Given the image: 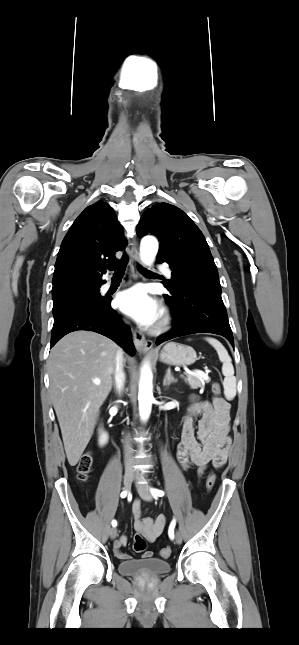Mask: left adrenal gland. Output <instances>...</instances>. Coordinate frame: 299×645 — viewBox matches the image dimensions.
<instances>
[{"mask_svg":"<svg viewBox=\"0 0 299 645\" xmlns=\"http://www.w3.org/2000/svg\"><path fill=\"white\" fill-rule=\"evenodd\" d=\"M177 380L173 377L170 368L167 369V373L163 380L164 386H169L170 384L176 383Z\"/></svg>","mask_w":299,"mask_h":645,"instance_id":"obj_1","label":"left adrenal gland"}]
</instances>
